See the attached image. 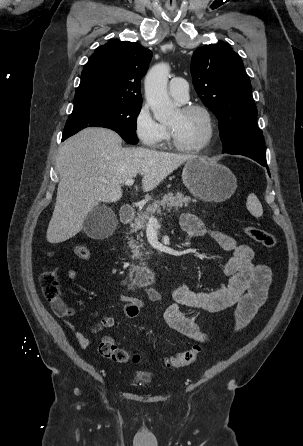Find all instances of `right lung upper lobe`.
<instances>
[{
  "instance_id": "cb5924a9",
  "label": "right lung upper lobe",
  "mask_w": 303,
  "mask_h": 446,
  "mask_svg": "<svg viewBox=\"0 0 303 446\" xmlns=\"http://www.w3.org/2000/svg\"><path fill=\"white\" fill-rule=\"evenodd\" d=\"M152 52L137 42H109L89 58L74 97V107L101 102L141 104V78Z\"/></svg>"
}]
</instances>
